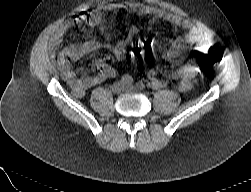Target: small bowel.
<instances>
[{
	"label": "small bowel",
	"instance_id": "obj_1",
	"mask_svg": "<svg viewBox=\"0 0 251 192\" xmlns=\"http://www.w3.org/2000/svg\"><path fill=\"white\" fill-rule=\"evenodd\" d=\"M99 22V20L94 19L90 24L92 27H96L99 25ZM176 24L186 30V33L176 38L166 49L165 55L168 61L178 63L190 46H194L193 52L197 53L208 47L210 39L202 30L191 25L187 21L177 22ZM95 48L112 52L117 60H120L125 53V46L122 43L112 45L106 33H103L102 37L96 42L87 41L77 46L63 48L61 73L64 81L75 97H83L89 88L101 84L115 75V70L111 66L104 62H98L94 75L82 77L75 76L71 68L72 65L79 62ZM197 71L198 68L189 63L178 69L176 76L179 79L178 88L181 92H188L193 89V81ZM148 76L154 88L166 87V82L158 77V72L155 69L149 70Z\"/></svg>",
	"mask_w": 251,
	"mask_h": 192
}]
</instances>
